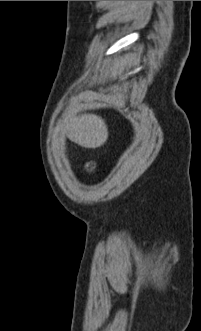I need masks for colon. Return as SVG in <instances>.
I'll return each mask as SVG.
<instances>
[{"label": "colon", "mask_w": 201, "mask_h": 331, "mask_svg": "<svg viewBox=\"0 0 201 331\" xmlns=\"http://www.w3.org/2000/svg\"><path fill=\"white\" fill-rule=\"evenodd\" d=\"M88 169H89V170H91V169H92V166H91V165H89V166H88Z\"/></svg>", "instance_id": "colon-1"}]
</instances>
